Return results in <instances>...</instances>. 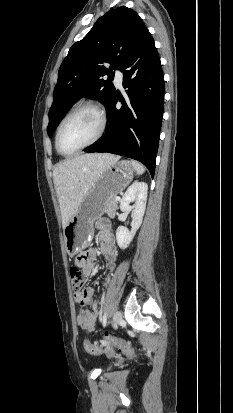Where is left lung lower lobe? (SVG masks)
I'll list each match as a JSON object with an SVG mask.
<instances>
[{
  "instance_id": "1",
  "label": "left lung lower lobe",
  "mask_w": 233,
  "mask_h": 413,
  "mask_svg": "<svg viewBox=\"0 0 233 413\" xmlns=\"http://www.w3.org/2000/svg\"><path fill=\"white\" fill-rule=\"evenodd\" d=\"M127 96L118 92L107 111L105 134L85 152H108L142 162L155 173L164 107V78L159 54L149 31L120 69ZM122 107L116 109L117 101Z\"/></svg>"
}]
</instances>
